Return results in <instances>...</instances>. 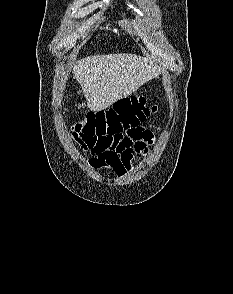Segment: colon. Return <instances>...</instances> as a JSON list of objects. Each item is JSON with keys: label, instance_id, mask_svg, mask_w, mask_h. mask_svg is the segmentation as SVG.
<instances>
[{"label": "colon", "instance_id": "5ec220e1", "mask_svg": "<svg viewBox=\"0 0 233 294\" xmlns=\"http://www.w3.org/2000/svg\"><path fill=\"white\" fill-rule=\"evenodd\" d=\"M155 107L148 106L144 96H134L118 101L107 111L91 112L74 125V136L85 149L98 154L109 149H123L134 137L125 132H136Z\"/></svg>", "mask_w": 233, "mask_h": 294}]
</instances>
